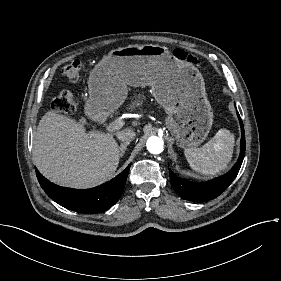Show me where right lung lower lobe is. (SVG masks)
Masks as SVG:
<instances>
[{"label":"right lung lower lobe","mask_w":281,"mask_h":281,"mask_svg":"<svg viewBox=\"0 0 281 281\" xmlns=\"http://www.w3.org/2000/svg\"><path fill=\"white\" fill-rule=\"evenodd\" d=\"M130 165L111 181L85 191L60 188L50 183L38 170L36 175L47 195L59 205L79 213H99L109 209L120 198Z\"/></svg>","instance_id":"98d812e1"}]
</instances>
